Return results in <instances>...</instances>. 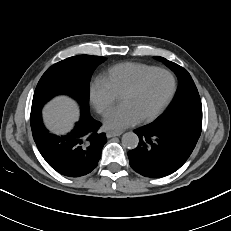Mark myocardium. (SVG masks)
Returning a JSON list of instances; mask_svg holds the SVG:
<instances>
[{
  "label": "myocardium",
  "instance_id": "myocardium-1",
  "mask_svg": "<svg viewBox=\"0 0 231 231\" xmlns=\"http://www.w3.org/2000/svg\"><path fill=\"white\" fill-rule=\"evenodd\" d=\"M156 73H166L168 74L171 79H172V88L170 93L168 94V96L166 97V99L163 101V103L150 115L145 116L141 119H139V121L141 123H147L150 122L152 120H154L155 118H157L164 110L165 108L169 105V103L171 102V100L173 99L176 90H177V80L175 75L168 69H164V68H156L152 71H149L148 73L144 74L143 76H141L134 84H132L121 96V99L125 96L131 95L135 92H137L142 85L154 74Z\"/></svg>",
  "mask_w": 231,
  "mask_h": 231
}]
</instances>
